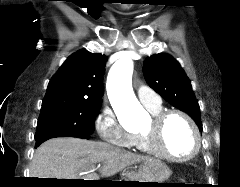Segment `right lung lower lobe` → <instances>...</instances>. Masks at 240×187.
<instances>
[{
  "mask_svg": "<svg viewBox=\"0 0 240 187\" xmlns=\"http://www.w3.org/2000/svg\"><path fill=\"white\" fill-rule=\"evenodd\" d=\"M55 137H66V136H62V135H53V136H48V137H44L42 139L36 140V145L35 147H38L40 144H42L44 141L50 139V138H55Z\"/></svg>",
  "mask_w": 240,
  "mask_h": 187,
  "instance_id": "right-lung-lower-lobe-1",
  "label": "right lung lower lobe"
}]
</instances>
